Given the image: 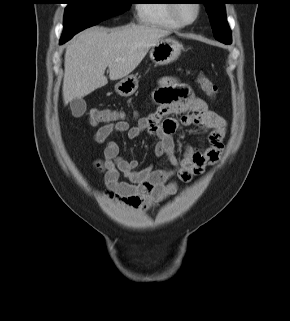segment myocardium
Segmentation results:
<instances>
[{
  "label": "myocardium",
  "instance_id": "1",
  "mask_svg": "<svg viewBox=\"0 0 290 321\" xmlns=\"http://www.w3.org/2000/svg\"><path fill=\"white\" fill-rule=\"evenodd\" d=\"M174 1V3H171V13H172V16L174 17V19L180 23L182 26H189V25H192L193 23H195L198 18L200 17V14H201V10H202V7H201V4L198 3V2H194L193 4L195 5V9H196V14H195V17L190 20V21H187L185 20L179 13V6L181 3L177 2V0H172Z\"/></svg>",
  "mask_w": 290,
  "mask_h": 321
}]
</instances>
